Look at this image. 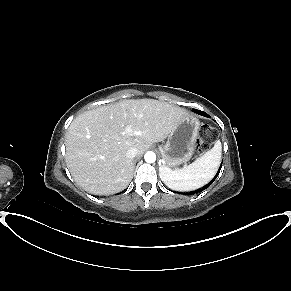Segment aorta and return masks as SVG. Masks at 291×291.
<instances>
[{
	"mask_svg": "<svg viewBox=\"0 0 291 291\" xmlns=\"http://www.w3.org/2000/svg\"><path fill=\"white\" fill-rule=\"evenodd\" d=\"M144 159L147 163H154L156 161V154L152 151H148L145 153Z\"/></svg>",
	"mask_w": 291,
	"mask_h": 291,
	"instance_id": "1",
	"label": "aorta"
}]
</instances>
